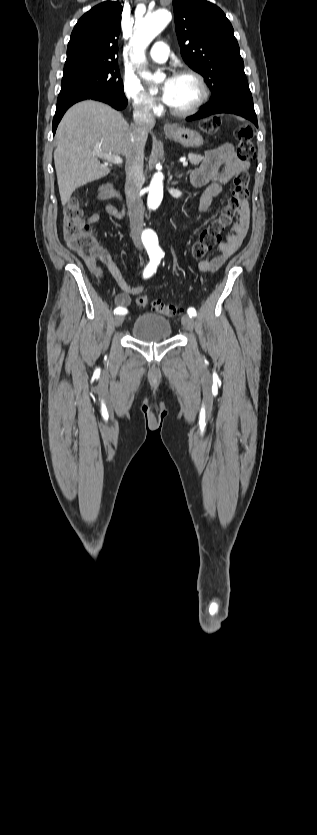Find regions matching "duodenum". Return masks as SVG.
<instances>
[{
  "label": "duodenum",
  "instance_id": "obj_1",
  "mask_svg": "<svg viewBox=\"0 0 317 835\" xmlns=\"http://www.w3.org/2000/svg\"><path fill=\"white\" fill-rule=\"evenodd\" d=\"M105 190L108 197H121L120 194L110 184L105 185Z\"/></svg>",
  "mask_w": 317,
  "mask_h": 835
}]
</instances>
